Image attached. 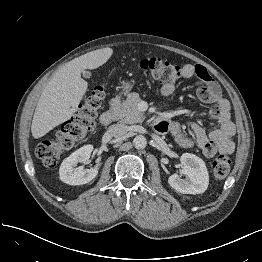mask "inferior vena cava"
<instances>
[{
	"label": "inferior vena cava",
	"instance_id": "602c4592",
	"mask_svg": "<svg viewBox=\"0 0 262 262\" xmlns=\"http://www.w3.org/2000/svg\"><path fill=\"white\" fill-rule=\"evenodd\" d=\"M127 132L128 128L124 124H114L109 127V133L111 134V136L116 138L125 136Z\"/></svg>",
	"mask_w": 262,
	"mask_h": 262
}]
</instances>
